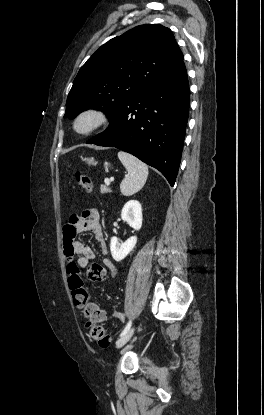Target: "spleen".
<instances>
[{"label": "spleen", "mask_w": 264, "mask_h": 415, "mask_svg": "<svg viewBox=\"0 0 264 415\" xmlns=\"http://www.w3.org/2000/svg\"><path fill=\"white\" fill-rule=\"evenodd\" d=\"M118 158L127 170V174L120 184L121 193L124 196H131L141 190L146 183L148 166L124 151L118 152Z\"/></svg>", "instance_id": "spleen-1"}]
</instances>
